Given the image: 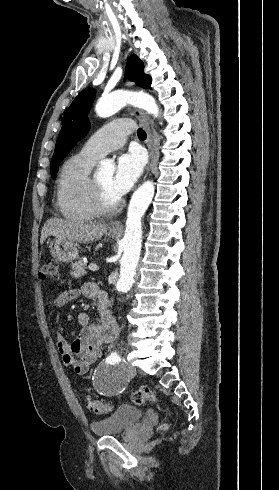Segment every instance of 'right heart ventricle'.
Masks as SVG:
<instances>
[{
    "label": "right heart ventricle",
    "mask_w": 279,
    "mask_h": 490,
    "mask_svg": "<svg viewBox=\"0 0 279 490\" xmlns=\"http://www.w3.org/2000/svg\"><path fill=\"white\" fill-rule=\"evenodd\" d=\"M97 160L81 152L62 165L57 187V202L62 216L72 222H87L98 213L93 204L94 184L90 169Z\"/></svg>",
    "instance_id": "right-heart-ventricle-1"
}]
</instances>
